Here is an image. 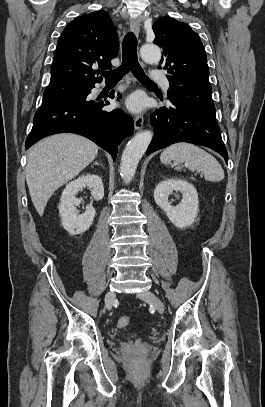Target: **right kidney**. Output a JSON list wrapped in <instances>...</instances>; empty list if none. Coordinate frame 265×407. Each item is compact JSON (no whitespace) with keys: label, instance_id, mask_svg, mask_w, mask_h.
<instances>
[{"label":"right kidney","instance_id":"right-kidney-1","mask_svg":"<svg viewBox=\"0 0 265 407\" xmlns=\"http://www.w3.org/2000/svg\"><path fill=\"white\" fill-rule=\"evenodd\" d=\"M85 187L91 189V194L95 200L98 201L103 198L104 187L102 179L98 175L87 174L78 177L66 185L58 205L63 228L71 235L81 234L88 230L96 214L92 204L86 207V211L83 214H79L76 210L80 200L75 195Z\"/></svg>","mask_w":265,"mask_h":407}]
</instances>
